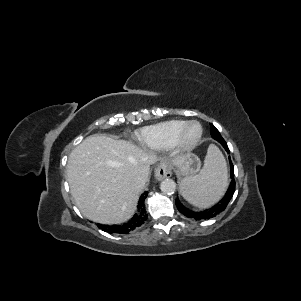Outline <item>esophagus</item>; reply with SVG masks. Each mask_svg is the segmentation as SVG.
<instances>
[{
    "label": "esophagus",
    "instance_id": "34e87169",
    "mask_svg": "<svg viewBox=\"0 0 301 301\" xmlns=\"http://www.w3.org/2000/svg\"><path fill=\"white\" fill-rule=\"evenodd\" d=\"M172 176L170 165L167 162H161L155 169V177L158 180Z\"/></svg>",
    "mask_w": 301,
    "mask_h": 301
}]
</instances>
